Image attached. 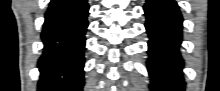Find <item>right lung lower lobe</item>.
Masks as SVG:
<instances>
[{"label": "right lung lower lobe", "instance_id": "98d812e1", "mask_svg": "<svg viewBox=\"0 0 220 91\" xmlns=\"http://www.w3.org/2000/svg\"><path fill=\"white\" fill-rule=\"evenodd\" d=\"M87 0H52L41 33L39 91H82Z\"/></svg>", "mask_w": 220, "mask_h": 91}]
</instances>
